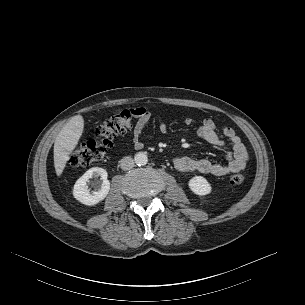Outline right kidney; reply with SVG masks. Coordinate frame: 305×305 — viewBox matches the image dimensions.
I'll use <instances>...</instances> for the list:
<instances>
[{"label": "right kidney", "instance_id": "right-kidney-1", "mask_svg": "<svg viewBox=\"0 0 305 305\" xmlns=\"http://www.w3.org/2000/svg\"><path fill=\"white\" fill-rule=\"evenodd\" d=\"M107 176V171L103 168L94 167L89 169L76 181L73 189L74 198L88 206L96 205L104 200L110 190V182ZM92 177H100V181H98L97 189L90 192L87 182Z\"/></svg>", "mask_w": 305, "mask_h": 305}]
</instances>
